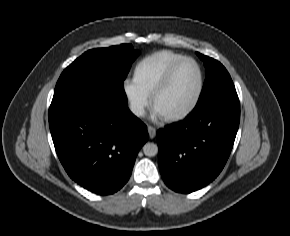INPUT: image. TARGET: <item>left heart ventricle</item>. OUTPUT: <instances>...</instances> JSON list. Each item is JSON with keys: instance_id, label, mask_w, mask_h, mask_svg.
Segmentation results:
<instances>
[{"instance_id": "left-heart-ventricle-1", "label": "left heart ventricle", "mask_w": 290, "mask_h": 236, "mask_svg": "<svg viewBox=\"0 0 290 236\" xmlns=\"http://www.w3.org/2000/svg\"><path fill=\"white\" fill-rule=\"evenodd\" d=\"M197 87V71L190 63L183 64L175 72L169 86L162 91L155 103L161 114L176 113L192 100Z\"/></svg>"}]
</instances>
